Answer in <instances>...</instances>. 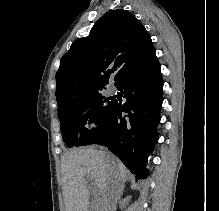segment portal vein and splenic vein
I'll use <instances>...</instances> for the list:
<instances>
[{
	"label": "portal vein and splenic vein",
	"mask_w": 219,
	"mask_h": 211,
	"mask_svg": "<svg viewBox=\"0 0 219 211\" xmlns=\"http://www.w3.org/2000/svg\"><path fill=\"white\" fill-rule=\"evenodd\" d=\"M93 193H94V199H97V197H99V193H97V189H93Z\"/></svg>",
	"instance_id": "portal-vein-and-splenic-vein-1"
}]
</instances>
